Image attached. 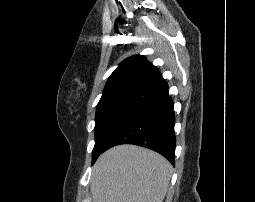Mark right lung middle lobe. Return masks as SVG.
Returning a JSON list of instances; mask_svg holds the SVG:
<instances>
[{"label": "right lung middle lobe", "mask_w": 255, "mask_h": 202, "mask_svg": "<svg viewBox=\"0 0 255 202\" xmlns=\"http://www.w3.org/2000/svg\"><path fill=\"white\" fill-rule=\"evenodd\" d=\"M135 111H114L96 115L95 146L92 152V163L103 153L110 139L134 115Z\"/></svg>", "instance_id": "right-lung-middle-lobe-1"}]
</instances>
